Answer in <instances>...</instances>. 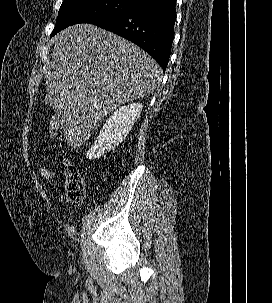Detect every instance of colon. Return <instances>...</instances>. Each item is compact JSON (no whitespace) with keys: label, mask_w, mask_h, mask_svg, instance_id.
<instances>
[{"label":"colon","mask_w":272,"mask_h":303,"mask_svg":"<svg viewBox=\"0 0 272 303\" xmlns=\"http://www.w3.org/2000/svg\"><path fill=\"white\" fill-rule=\"evenodd\" d=\"M49 134L53 137L60 136V120L57 117L50 119ZM65 174L64 193L67 201L73 206H79L85 197V184L78 167L70 160L63 163ZM38 177L47 182L54 178L52 168L45 164H39L36 168Z\"/></svg>","instance_id":"5ec220e1"}]
</instances>
